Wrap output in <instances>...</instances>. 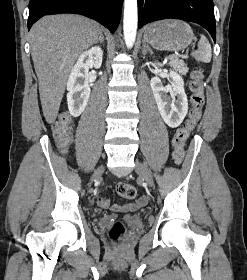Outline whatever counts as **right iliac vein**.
Segmentation results:
<instances>
[{"mask_svg":"<svg viewBox=\"0 0 247 280\" xmlns=\"http://www.w3.org/2000/svg\"><path fill=\"white\" fill-rule=\"evenodd\" d=\"M104 172V167H100L94 174L95 179L99 178Z\"/></svg>","mask_w":247,"mask_h":280,"instance_id":"obj_1","label":"right iliac vein"}]
</instances>
